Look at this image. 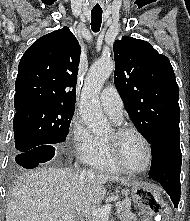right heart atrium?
<instances>
[{
  "mask_svg": "<svg viewBox=\"0 0 190 221\" xmlns=\"http://www.w3.org/2000/svg\"><path fill=\"white\" fill-rule=\"evenodd\" d=\"M68 140L76 157L85 163H88L98 148V139L78 116H74L70 122Z\"/></svg>",
  "mask_w": 190,
  "mask_h": 221,
  "instance_id": "obj_1",
  "label": "right heart atrium"
}]
</instances>
